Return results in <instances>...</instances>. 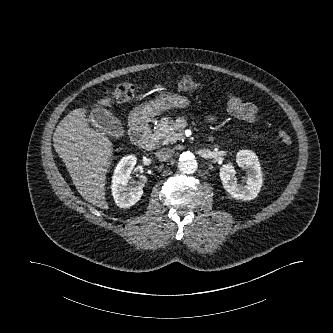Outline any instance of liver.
<instances>
[{
	"instance_id": "6515ba94",
	"label": "liver",
	"mask_w": 333,
	"mask_h": 333,
	"mask_svg": "<svg viewBox=\"0 0 333 333\" xmlns=\"http://www.w3.org/2000/svg\"><path fill=\"white\" fill-rule=\"evenodd\" d=\"M98 104L111 106V98ZM88 121L85 109L65 117L57 129L55 148L80 195L98 208L108 209L105 180L113 145L104 133L90 128Z\"/></svg>"
}]
</instances>
